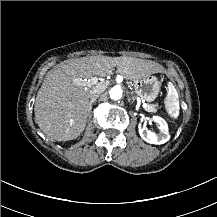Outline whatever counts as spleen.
<instances>
[{
  "label": "spleen",
  "mask_w": 217,
  "mask_h": 217,
  "mask_svg": "<svg viewBox=\"0 0 217 217\" xmlns=\"http://www.w3.org/2000/svg\"><path fill=\"white\" fill-rule=\"evenodd\" d=\"M166 93L165 112L169 119L176 120L179 117V97L176 86H167Z\"/></svg>",
  "instance_id": "1"
}]
</instances>
